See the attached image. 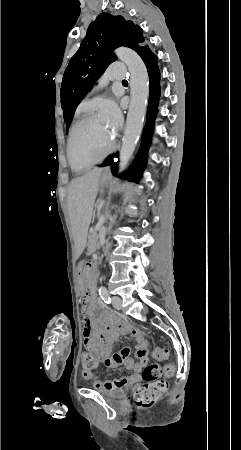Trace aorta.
<instances>
[{
  "label": "aorta",
  "instance_id": "obj_1",
  "mask_svg": "<svg viewBox=\"0 0 241 450\" xmlns=\"http://www.w3.org/2000/svg\"><path fill=\"white\" fill-rule=\"evenodd\" d=\"M115 52L128 67L131 89L130 106L120 150L118 166L120 174L126 169L142 132L149 94V81L145 64L135 51L122 47Z\"/></svg>",
  "mask_w": 241,
  "mask_h": 450
}]
</instances>
